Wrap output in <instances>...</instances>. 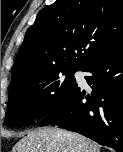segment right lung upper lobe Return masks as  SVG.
<instances>
[{
  "instance_id": "obj_1",
  "label": "right lung upper lobe",
  "mask_w": 123,
  "mask_h": 152,
  "mask_svg": "<svg viewBox=\"0 0 123 152\" xmlns=\"http://www.w3.org/2000/svg\"><path fill=\"white\" fill-rule=\"evenodd\" d=\"M123 41V0H57L39 11L27 30L10 88L41 73L85 68Z\"/></svg>"
}]
</instances>
